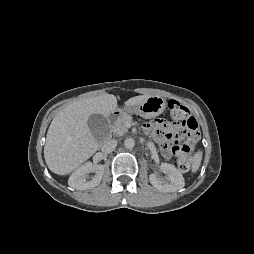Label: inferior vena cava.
Here are the masks:
<instances>
[{
  "label": "inferior vena cava",
  "mask_w": 254,
  "mask_h": 254,
  "mask_svg": "<svg viewBox=\"0 0 254 254\" xmlns=\"http://www.w3.org/2000/svg\"><path fill=\"white\" fill-rule=\"evenodd\" d=\"M117 146V141L115 139H111L106 141L103 145H102V152L104 153H111L112 151H114V149Z\"/></svg>",
  "instance_id": "obj_1"
}]
</instances>
